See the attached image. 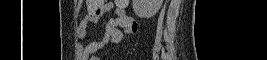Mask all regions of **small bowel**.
<instances>
[{
    "label": "small bowel",
    "instance_id": "c3829d8e",
    "mask_svg": "<svg viewBox=\"0 0 267 60\" xmlns=\"http://www.w3.org/2000/svg\"><path fill=\"white\" fill-rule=\"evenodd\" d=\"M113 8H115V15L107 20L103 36L100 39L93 40L83 48L84 56H92L109 43H119L124 34L131 35L135 32V28L131 27L135 21L126 14V4L120 6L117 2L108 1L104 4V10L99 15H86L82 19L78 29V36L81 39L86 38L90 26L96 23L103 13ZM118 23H126V26L120 27Z\"/></svg>",
    "mask_w": 267,
    "mask_h": 60
}]
</instances>
